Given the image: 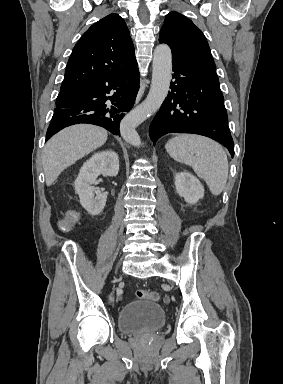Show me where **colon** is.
<instances>
[{"mask_svg": "<svg viewBox=\"0 0 283 384\" xmlns=\"http://www.w3.org/2000/svg\"><path fill=\"white\" fill-rule=\"evenodd\" d=\"M74 221V218H71L69 221H67L64 224V227L67 228L70 226V224ZM136 297L139 299H148V300H153L156 301L159 299V295L155 291H149V290H144V289H138L136 291Z\"/></svg>", "mask_w": 283, "mask_h": 384, "instance_id": "obj_1", "label": "colon"}]
</instances>
